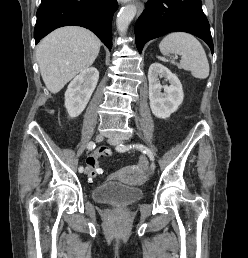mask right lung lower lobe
<instances>
[{
  "label": "right lung lower lobe",
  "mask_w": 248,
  "mask_h": 258,
  "mask_svg": "<svg viewBox=\"0 0 248 258\" xmlns=\"http://www.w3.org/2000/svg\"><path fill=\"white\" fill-rule=\"evenodd\" d=\"M118 4L115 0H41L34 29L36 44L56 28L68 25L94 32L111 50V22Z\"/></svg>",
  "instance_id": "98d812e1"
}]
</instances>
